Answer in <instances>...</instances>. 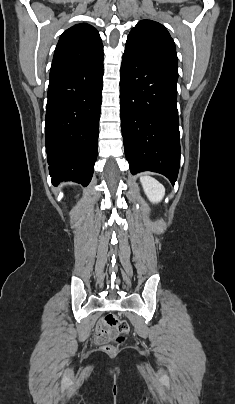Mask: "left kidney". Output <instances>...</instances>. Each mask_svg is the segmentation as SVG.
<instances>
[{"label": "left kidney", "instance_id": "left-kidney-1", "mask_svg": "<svg viewBox=\"0 0 235 404\" xmlns=\"http://www.w3.org/2000/svg\"><path fill=\"white\" fill-rule=\"evenodd\" d=\"M141 184L148 199L153 203L160 202L165 195V188L157 180L148 177H140Z\"/></svg>", "mask_w": 235, "mask_h": 404}]
</instances>
